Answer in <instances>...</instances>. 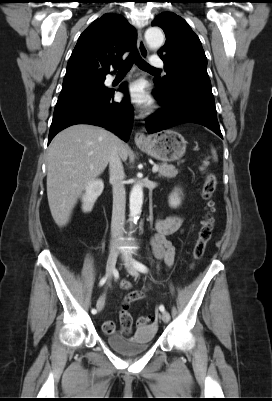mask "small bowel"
<instances>
[{"mask_svg":"<svg viewBox=\"0 0 272 401\" xmlns=\"http://www.w3.org/2000/svg\"><path fill=\"white\" fill-rule=\"evenodd\" d=\"M182 223L183 220L180 216H166L157 220L156 233L151 240V245L155 256L164 261L167 267H171L173 265L176 254L175 246L167 239V236L181 230ZM120 287L124 290H128L131 288V283L128 280H122ZM144 297L145 291L137 290L128 293L123 299L119 311L121 332L123 334L129 335L132 333V316L130 314L131 305L134 302L143 299ZM97 304H99V307L102 308L104 305V298L102 302H99L98 300ZM103 329L105 333L111 334L115 332L116 325L114 321L107 320L104 322Z\"/></svg>","mask_w":272,"mask_h":401,"instance_id":"1","label":"small bowel"}]
</instances>
